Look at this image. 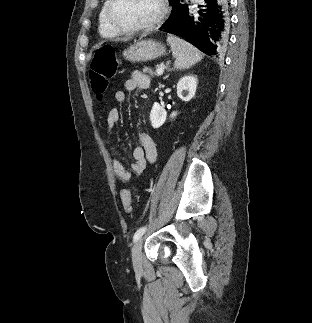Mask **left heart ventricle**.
I'll return each mask as SVG.
<instances>
[{
	"instance_id": "left-heart-ventricle-1",
	"label": "left heart ventricle",
	"mask_w": 312,
	"mask_h": 323,
	"mask_svg": "<svg viewBox=\"0 0 312 323\" xmlns=\"http://www.w3.org/2000/svg\"><path fill=\"white\" fill-rule=\"evenodd\" d=\"M148 14H160L158 0H115L112 18L121 22H145Z\"/></svg>"
}]
</instances>
